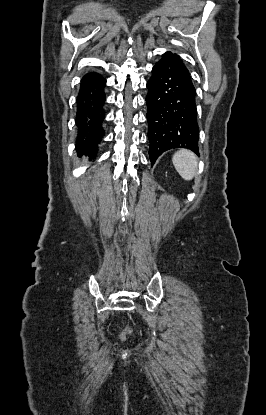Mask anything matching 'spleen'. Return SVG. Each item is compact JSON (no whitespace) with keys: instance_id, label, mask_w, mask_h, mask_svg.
Listing matches in <instances>:
<instances>
[{"instance_id":"spleen-1","label":"spleen","mask_w":266,"mask_h":415,"mask_svg":"<svg viewBox=\"0 0 266 415\" xmlns=\"http://www.w3.org/2000/svg\"><path fill=\"white\" fill-rule=\"evenodd\" d=\"M172 162L180 176L190 181L197 172L198 161L194 153L189 150H179L173 155Z\"/></svg>"}]
</instances>
